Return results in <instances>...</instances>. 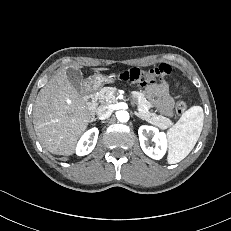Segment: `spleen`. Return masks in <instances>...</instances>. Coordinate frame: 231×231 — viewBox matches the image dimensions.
<instances>
[{"label": "spleen", "mask_w": 231, "mask_h": 231, "mask_svg": "<svg viewBox=\"0 0 231 231\" xmlns=\"http://www.w3.org/2000/svg\"><path fill=\"white\" fill-rule=\"evenodd\" d=\"M203 122L204 113L202 107L192 106L168 130L170 150L167 161L169 164L178 163L188 156L198 141L203 128Z\"/></svg>", "instance_id": "1"}]
</instances>
